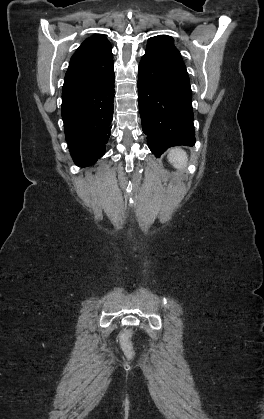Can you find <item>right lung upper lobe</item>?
Here are the masks:
<instances>
[{"mask_svg":"<svg viewBox=\"0 0 264 419\" xmlns=\"http://www.w3.org/2000/svg\"><path fill=\"white\" fill-rule=\"evenodd\" d=\"M111 44L103 35L86 39L70 60L63 89L96 84L113 72Z\"/></svg>","mask_w":264,"mask_h":419,"instance_id":"1","label":"right lung upper lobe"}]
</instances>
